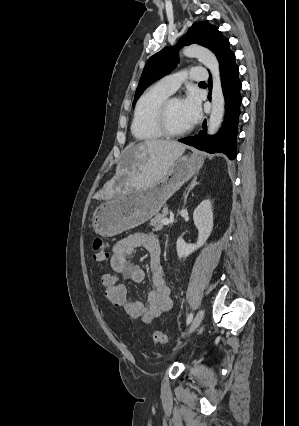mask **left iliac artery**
<instances>
[{
    "instance_id": "left-iliac-artery-1",
    "label": "left iliac artery",
    "mask_w": 299,
    "mask_h": 426,
    "mask_svg": "<svg viewBox=\"0 0 299 426\" xmlns=\"http://www.w3.org/2000/svg\"><path fill=\"white\" fill-rule=\"evenodd\" d=\"M192 319H193V314H192V313H190V314L188 315V317H187V320H186L187 325H188V324H190V322L192 321Z\"/></svg>"
}]
</instances>
